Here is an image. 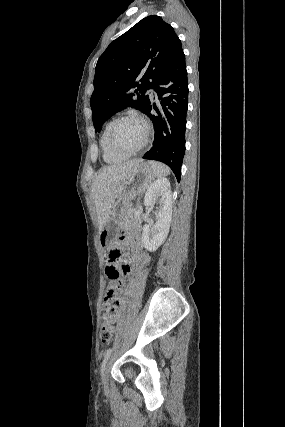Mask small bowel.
I'll return each instance as SVG.
<instances>
[{
	"label": "small bowel",
	"instance_id": "obj_1",
	"mask_svg": "<svg viewBox=\"0 0 285 427\" xmlns=\"http://www.w3.org/2000/svg\"><path fill=\"white\" fill-rule=\"evenodd\" d=\"M140 227L135 226L131 231V237L129 238V247L132 252V260L136 263H145L149 261L148 256L142 252L141 242H140ZM107 291L110 292V296L113 299H118L120 301L118 307V315L114 321H117L120 318V314L124 311L125 301L121 297L123 290L121 287L112 286L108 287ZM108 294V293H107ZM106 294V296H107Z\"/></svg>",
	"mask_w": 285,
	"mask_h": 427
}]
</instances>
